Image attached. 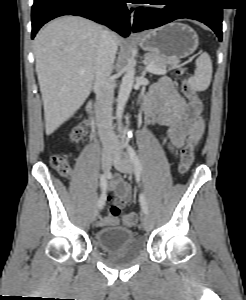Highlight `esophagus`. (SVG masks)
Wrapping results in <instances>:
<instances>
[{"label": "esophagus", "instance_id": "34e87169", "mask_svg": "<svg viewBox=\"0 0 246 300\" xmlns=\"http://www.w3.org/2000/svg\"><path fill=\"white\" fill-rule=\"evenodd\" d=\"M128 9H129V12H130V24L132 26L133 19H134L135 6L134 5H128Z\"/></svg>", "mask_w": 246, "mask_h": 300}]
</instances>
